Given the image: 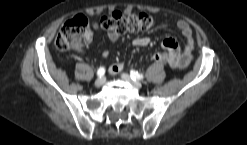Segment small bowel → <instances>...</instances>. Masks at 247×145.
Segmentation results:
<instances>
[{"label": "small bowel", "mask_w": 247, "mask_h": 145, "mask_svg": "<svg viewBox=\"0 0 247 145\" xmlns=\"http://www.w3.org/2000/svg\"><path fill=\"white\" fill-rule=\"evenodd\" d=\"M177 28L181 35L185 39L183 48H180L178 43L172 38H165L161 41L162 53L155 54L153 60L156 62H167L173 69H185L187 68L193 58L192 52L194 49L193 32L189 24L185 20H179L177 22ZM108 38L112 42H116L119 39V35L116 33H108ZM151 43V38L148 36L137 37L132 41L134 47H146ZM82 50V49H80ZM103 58L109 56L107 50L101 52ZM124 68L123 62H118L109 67V74L112 76L118 75Z\"/></svg>", "instance_id": "obj_1"}]
</instances>
